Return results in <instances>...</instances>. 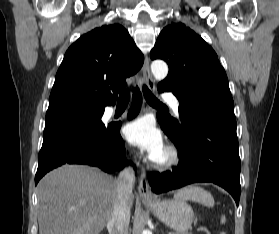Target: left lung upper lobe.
<instances>
[{
	"label": "left lung upper lobe",
	"instance_id": "obj_1",
	"mask_svg": "<svg viewBox=\"0 0 279 234\" xmlns=\"http://www.w3.org/2000/svg\"><path fill=\"white\" fill-rule=\"evenodd\" d=\"M150 57L163 59L169 73L158 87L169 88L181 108L220 110L234 114V102L227 75L214 50L183 23L165 27L150 52ZM180 121L181 114L179 112ZM161 127L173 135L181 128L179 121L158 114ZM182 123V122H181Z\"/></svg>",
	"mask_w": 279,
	"mask_h": 234
}]
</instances>
